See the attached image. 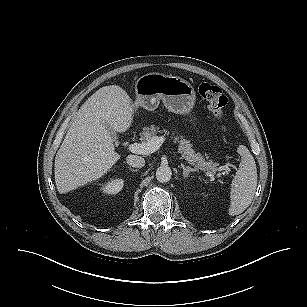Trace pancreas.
<instances>
[{"label": "pancreas", "instance_id": "pancreas-1", "mask_svg": "<svg viewBox=\"0 0 307 307\" xmlns=\"http://www.w3.org/2000/svg\"><path fill=\"white\" fill-rule=\"evenodd\" d=\"M159 130V127L155 125H150L148 127L143 128V133L141 136L142 142H148L153 136H156ZM165 134H168L167 130L162 131ZM180 139V140H179ZM174 142L179 143V151L182 153L183 157L194 166L195 169H201L204 171H211L215 173L218 170V163H214L213 161H205V157L200 154L196 153L191 147V143L189 140L183 139L182 136L174 137ZM208 158V157H206Z\"/></svg>", "mask_w": 307, "mask_h": 307}]
</instances>
